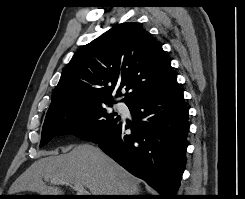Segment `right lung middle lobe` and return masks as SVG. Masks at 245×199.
<instances>
[{"mask_svg": "<svg viewBox=\"0 0 245 199\" xmlns=\"http://www.w3.org/2000/svg\"><path fill=\"white\" fill-rule=\"evenodd\" d=\"M104 104L112 105L110 102L78 104L46 116L40 147L58 135L73 134L87 141L97 137L120 119L116 113H109Z\"/></svg>", "mask_w": 245, "mask_h": 199, "instance_id": "dd1d6c3e", "label": "right lung middle lobe"}]
</instances>
